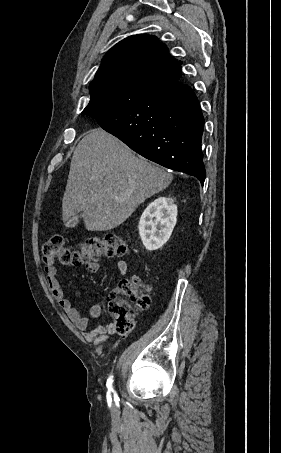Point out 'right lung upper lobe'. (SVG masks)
<instances>
[{"instance_id":"cb5924a9","label":"right lung upper lobe","mask_w":281,"mask_h":453,"mask_svg":"<svg viewBox=\"0 0 281 453\" xmlns=\"http://www.w3.org/2000/svg\"><path fill=\"white\" fill-rule=\"evenodd\" d=\"M181 61L155 36L133 35L111 48L90 84L91 99L83 110L129 101L162 83L181 77Z\"/></svg>"}]
</instances>
